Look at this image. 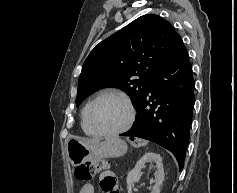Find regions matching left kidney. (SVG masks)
Segmentation results:
<instances>
[{
    "mask_svg": "<svg viewBox=\"0 0 237 193\" xmlns=\"http://www.w3.org/2000/svg\"><path fill=\"white\" fill-rule=\"evenodd\" d=\"M146 162L156 164L155 173V185L153 186L151 193H160V185L164 180V168L162 158L159 154L153 152L146 153L135 165V167L127 175V190L128 193H132V186L134 182L140 180L142 175V168Z\"/></svg>",
    "mask_w": 237,
    "mask_h": 193,
    "instance_id": "5707ae66",
    "label": "left kidney"
}]
</instances>
